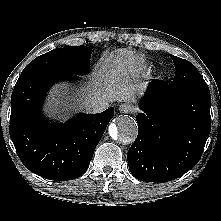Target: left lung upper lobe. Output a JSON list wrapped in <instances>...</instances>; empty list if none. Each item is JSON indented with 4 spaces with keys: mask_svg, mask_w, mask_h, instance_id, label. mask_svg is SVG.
<instances>
[{
    "mask_svg": "<svg viewBox=\"0 0 221 221\" xmlns=\"http://www.w3.org/2000/svg\"><path fill=\"white\" fill-rule=\"evenodd\" d=\"M171 58L175 64L176 74L169 86L178 88L182 86L206 83L202 75L197 71L192 63L173 55H171Z\"/></svg>",
    "mask_w": 221,
    "mask_h": 221,
    "instance_id": "1",
    "label": "left lung upper lobe"
}]
</instances>
